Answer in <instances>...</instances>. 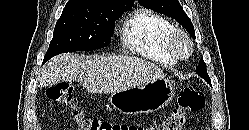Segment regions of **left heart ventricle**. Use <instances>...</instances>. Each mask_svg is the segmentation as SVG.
<instances>
[{
	"instance_id": "obj_1",
	"label": "left heart ventricle",
	"mask_w": 249,
	"mask_h": 130,
	"mask_svg": "<svg viewBox=\"0 0 249 130\" xmlns=\"http://www.w3.org/2000/svg\"><path fill=\"white\" fill-rule=\"evenodd\" d=\"M177 50L180 54L185 55L188 52V46L184 41L177 44Z\"/></svg>"
}]
</instances>
